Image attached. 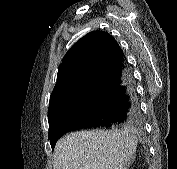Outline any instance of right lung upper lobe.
<instances>
[{
  "instance_id": "cb5924a9",
  "label": "right lung upper lobe",
  "mask_w": 177,
  "mask_h": 169,
  "mask_svg": "<svg viewBox=\"0 0 177 169\" xmlns=\"http://www.w3.org/2000/svg\"><path fill=\"white\" fill-rule=\"evenodd\" d=\"M121 52L117 41L107 32L93 31L78 40L69 49L58 70L49 107L88 82Z\"/></svg>"
}]
</instances>
